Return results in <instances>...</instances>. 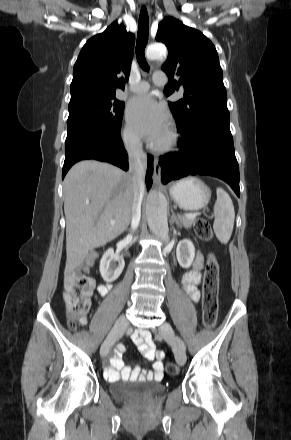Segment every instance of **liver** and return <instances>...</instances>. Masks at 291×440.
Wrapping results in <instances>:
<instances>
[{
    "instance_id": "obj_1",
    "label": "liver",
    "mask_w": 291,
    "mask_h": 440,
    "mask_svg": "<svg viewBox=\"0 0 291 440\" xmlns=\"http://www.w3.org/2000/svg\"><path fill=\"white\" fill-rule=\"evenodd\" d=\"M63 190L67 255L64 274L68 276L90 249L105 245L127 229L134 185L130 173L108 163L84 160L68 171Z\"/></svg>"
}]
</instances>
